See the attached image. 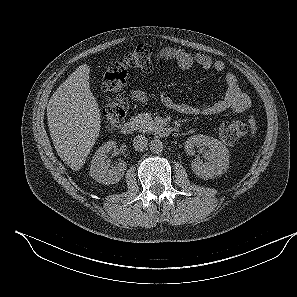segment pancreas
Wrapping results in <instances>:
<instances>
[{
    "mask_svg": "<svg viewBox=\"0 0 297 297\" xmlns=\"http://www.w3.org/2000/svg\"><path fill=\"white\" fill-rule=\"evenodd\" d=\"M132 120L137 124V128L141 132H151L157 127L156 122L148 114H138Z\"/></svg>",
    "mask_w": 297,
    "mask_h": 297,
    "instance_id": "cf45deb5",
    "label": "pancreas"
}]
</instances>
